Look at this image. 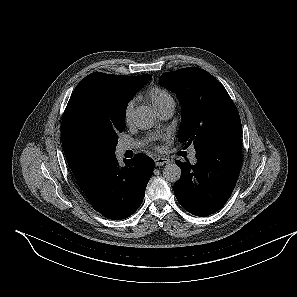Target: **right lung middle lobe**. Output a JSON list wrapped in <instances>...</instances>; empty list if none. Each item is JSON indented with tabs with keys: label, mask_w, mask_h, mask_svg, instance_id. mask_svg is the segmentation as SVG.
<instances>
[{
	"label": "right lung middle lobe",
	"mask_w": 297,
	"mask_h": 297,
	"mask_svg": "<svg viewBox=\"0 0 297 297\" xmlns=\"http://www.w3.org/2000/svg\"><path fill=\"white\" fill-rule=\"evenodd\" d=\"M125 128V112L113 117L90 118L83 128V140L93 155L101 160L115 156L118 133Z\"/></svg>",
	"instance_id": "right-lung-middle-lobe-1"
}]
</instances>
